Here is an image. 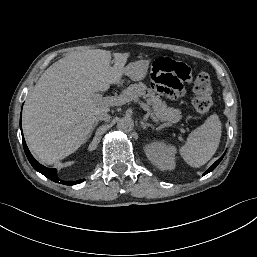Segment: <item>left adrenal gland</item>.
I'll list each match as a JSON object with an SVG mask.
<instances>
[{
	"label": "left adrenal gland",
	"mask_w": 257,
	"mask_h": 257,
	"mask_svg": "<svg viewBox=\"0 0 257 257\" xmlns=\"http://www.w3.org/2000/svg\"><path fill=\"white\" fill-rule=\"evenodd\" d=\"M140 124H141V127H142L143 129H146L147 127H151L152 129H154V126H153L152 124L147 123V122H145V121H143V120L140 122Z\"/></svg>",
	"instance_id": "obj_1"
}]
</instances>
